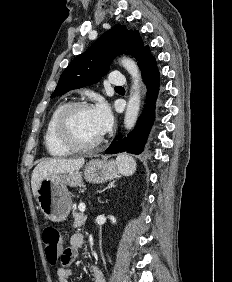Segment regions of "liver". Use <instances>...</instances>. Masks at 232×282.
Wrapping results in <instances>:
<instances>
[{"instance_id":"liver-1","label":"liver","mask_w":232,"mask_h":282,"mask_svg":"<svg viewBox=\"0 0 232 282\" xmlns=\"http://www.w3.org/2000/svg\"><path fill=\"white\" fill-rule=\"evenodd\" d=\"M84 158L65 159L52 158L41 161L33 170L31 177L32 192L37 197V189L44 178L51 177L56 174H64L74 172L82 168Z\"/></svg>"}]
</instances>
